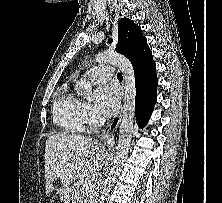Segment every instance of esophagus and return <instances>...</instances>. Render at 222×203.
<instances>
[{
    "mask_svg": "<svg viewBox=\"0 0 222 203\" xmlns=\"http://www.w3.org/2000/svg\"><path fill=\"white\" fill-rule=\"evenodd\" d=\"M121 116H122V109L119 112L118 115H116L111 122L106 125V127L102 130L101 135H100V142L104 145H107L110 140L111 137L113 136V134L116 132L119 123L121 121Z\"/></svg>",
    "mask_w": 222,
    "mask_h": 203,
    "instance_id": "esophagus-1",
    "label": "esophagus"
}]
</instances>
